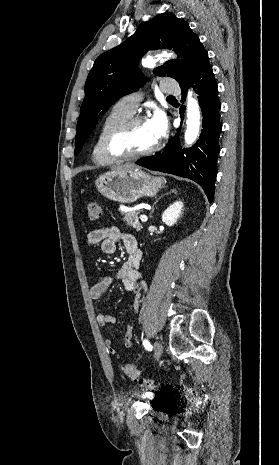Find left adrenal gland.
I'll return each instance as SVG.
<instances>
[{
  "label": "left adrenal gland",
  "instance_id": "obj_1",
  "mask_svg": "<svg viewBox=\"0 0 279 465\" xmlns=\"http://www.w3.org/2000/svg\"><path fill=\"white\" fill-rule=\"evenodd\" d=\"M171 193H175V194H176V193H177V190L173 189L171 192L167 193L166 195L171 194ZM163 196H164V195H162L161 197H159V199L156 200V202L153 204V207H152V210H151V213H150V218H151V215H152V213H153V211H154V206L158 203V201H159Z\"/></svg>",
  "mask_w": 279,
  "mask_h": 465
}]
</instances>
